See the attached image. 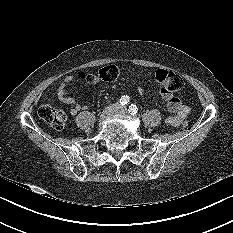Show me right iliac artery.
I'll return each instance as SVG.
<instances>
[{"mask_svg":"<svg viewBox=\"0 0 233 233\" xmlns=\"http://www.w3.org/2000/svg\"><path fill=\"white\" fill-rule=\"evenodd\" d=\"M129 101H130L129 96L124 95V96L121 97L119 103H120L121 106H124V105L128 104Z\"/></svg>","mask_w":233,"mask_h":233,"instance_id":"82829eb1","label":"right iliac artery"}]
</instances>
